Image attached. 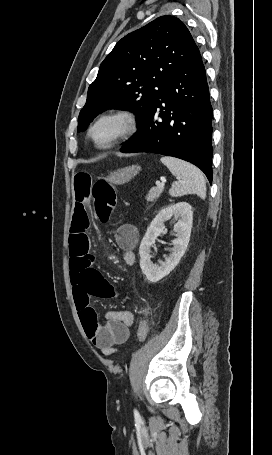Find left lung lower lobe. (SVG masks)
Returning <instances> with one entry per match:
<instances>
[{
  "instance_id": "1",
  "label": "left lung lower lobe",
  "mask_w": 272,
  "mask_h": 455,
  "mask_svg": "<svg viewBox=\"0 0 272 455\" xmlns=\"http://www.w3.org/2000/svg\"><path fill=\"white\" fill-rule=\"evenodd\" d=\"M212 106L199 54L169 78L162 96L120 149L152 152L188 161L212 182Z\"/></svg>"
}]
</instances>
